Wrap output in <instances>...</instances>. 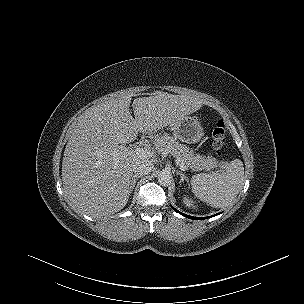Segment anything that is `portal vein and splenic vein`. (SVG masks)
<instances>
[{"label":"portal vein and splenic vein","instance_id":"1","mask_svg":"<svg viewBox=\"0 0 304 304\" xmlns=\"http://www.w3.org/2000/svg\"><path fill=\"white\" fill-rule=\"evenodd\" d=\"M135 152H136V154H138V155H140V156H143V157H153V156H154V152H153V151H151V150H149V149L140 148V147H137V148L135 149ZM179 168H180L181 170H183V171L187 169V168H186L184 165H182V164L179 165Z\"/></svg>","mask_w":304,"mask_h":304}]
</instances>
